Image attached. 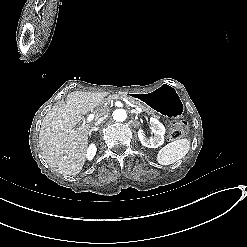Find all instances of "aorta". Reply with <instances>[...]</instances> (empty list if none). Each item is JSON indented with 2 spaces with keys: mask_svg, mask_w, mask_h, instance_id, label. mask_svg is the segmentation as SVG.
I'll use <instances>...</instances> for the list:
<instances>
[{
  "mask_svg": "<svg viewBox=\"0 0 247 247\" xmlns=\"http://www.w3.org/2000/svg\"><path fill=\"white\" fill-rule=\"evenodd\" d=\"M113 119L118 122L125 121L127 118V113L124 109H116L113 114Z\"/></svg>",
  "mask_w": 247,
  "mask_h": 247,
  "instance_id": "762f6f07",
  "label": "aorta"
}]
</instances>
